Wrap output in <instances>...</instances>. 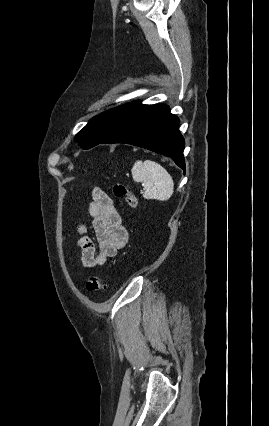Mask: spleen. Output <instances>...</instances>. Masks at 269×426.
I'll use <instances>...</instances> for the list:
<instances>
[{
    "mask_svg": "<svg viewBox=\"0 0 269 426\" xmlns=\"http://www.w3.org/2000/svg\"><path fill=\"white\" fill-rule=\"evenodd\" d=\"M133 180L144 186L143 197L168 200L174 191L171 175L160 164L151 160H137L131 169Z\"/></svg>",
    "mask_w": 269,
    "mask_h": 426,
    "instance_id": "spleen-1",
    "label": "spleen"
}]
</instances>
